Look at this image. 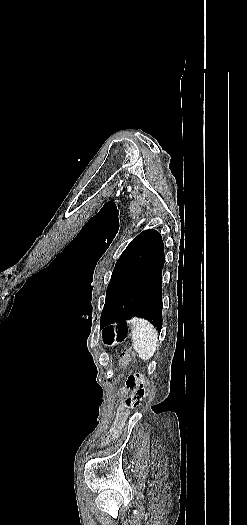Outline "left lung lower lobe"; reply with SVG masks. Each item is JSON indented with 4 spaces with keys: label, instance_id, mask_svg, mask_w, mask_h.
<instances>
[{
    "label": "left lung lower lobe",
    "instance_id": "0a47b994",
    "mask_svg": "<svg viewBox=\"0 0 247 525\" xmlns=\"http://www.w3.org/2000/svg\"><path fill=\"white\" fill-rule=\"evenodd\" d=\"M165 262L164 245L155 254L147 269L130 285L105 314L101 323L107 326L132 317L150 320L162 328V268Z\"/></svg>",
    "mask_w": 247,
    "mask_h": 525
}]
</instances>
